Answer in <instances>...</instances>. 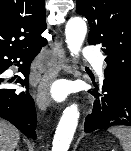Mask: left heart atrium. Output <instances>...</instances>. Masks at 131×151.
<instances>
[{
  "instance_id": "left-heart-atrium-1",
  "label": "left heart atrium",
  "mask_w": 131,
  "mask_h": 151,
  "mask_svg": "<svg viewBox=\"0 0 131 151\" xmlns=\"http://www.w3.org/2000/svg\"><path fill=\"white\" fill-rule=\"evenodd\" d=\"M66 93V88L63 84H59L55 87V94L58 97H62L64 96V94Z\"/></svg>"
}]
</instances>
